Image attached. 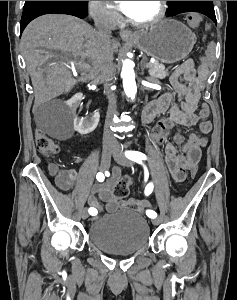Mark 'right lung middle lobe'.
Masks as SVG:
<instances>
[{"label":"right lung middle lobe","mask_w":237,"mask_h":300,"mask_svg":"<svg viewBox=\"0 0 237 300\" xmlns=\"http://www.w3.org/2000/svg\"><path fill=\"white\" fill-rule=\"evenodd\" d=\"M71 2H81V1H25L22 15L28 14L40 7L53 5V4H60V3H71Z\"/></svg>","instance_id":"right-lung-middle-lobe-1"}]
</instances>
